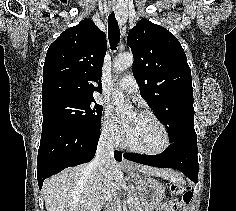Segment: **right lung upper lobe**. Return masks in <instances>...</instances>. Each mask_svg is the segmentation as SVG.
Here are the masks:
<instances>
[{"instance_id":"1","label":"right lung upper lobe","mask_w":236,"mask_h":211,"mask_svg":"<svg viewBox=\"0 0 236 211\" xmlns=\"http://www.w3.org/2000/svg\"><path fill=\"white\" fill-rule=\"evenodd\" d=\"M106 48L105 33L90 19L62 32L47 50L42 104L60 98L94 99V91L101 93Z\"/></svg>"}]
</instances>
